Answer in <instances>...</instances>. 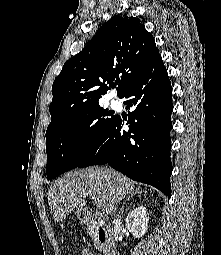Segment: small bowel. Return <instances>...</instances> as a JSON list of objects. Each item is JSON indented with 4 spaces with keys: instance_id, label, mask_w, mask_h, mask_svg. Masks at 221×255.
<instances>
[{
    "instance_id": "obj_1",
    "label": "small bowel",
    "mask_w": 221,
    "mask_h": 255,
    "mask_svg": "<svg viewBox=\"0 0 221 255\" xmlns=\"http://www.w3.org/2000/svg\"><path fill=\"white\" fill-rule=\"evenodd\" d=\"M81 255H99V254H92L89 250L84 249V250L81 252Z\"/></svg>"
}]
</instances>
